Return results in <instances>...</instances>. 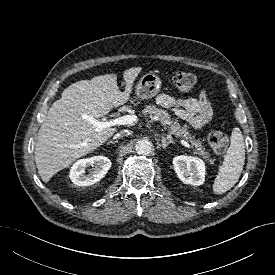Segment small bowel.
I'll return each mask as SVG.
<instances>
[{"instance_id": "obj_1", "label": "small bowel", "mask_w": 275, "mask_h": 275, "mask_svg": "<svg viewBox=\"0 0 275 275\" xmlns=\"http://www.w3.org/2000/svg\"><path fill=\"white\" fill-rule=\"evenodd\" d=\"M159 106L171 109L174 114L194 128H202L212 118L213 111L207 92L202 90L198 98H175L162 93L156 97Z\"/></svg>"}]
</instances>
